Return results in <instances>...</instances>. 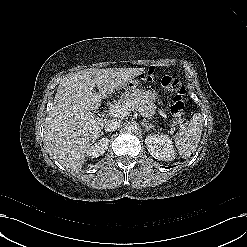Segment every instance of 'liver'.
Wrapping results in <instances>:
<instances>
[{"label": "liver", "instance_id": "liver-1", "mask_svg": "<svg viewBox=\"0 0 247 247\" xmlns=\"http://www.w3.org/2000/svg\"><path fill=\"white\" fill-rule=\"evenodd\" d=\"M144 69L90 68L64 77L44 122L49 155L66 168L80 169L106 121L91 111ZM95 86L99 92L93 90Z\"/></svg>", "mask_w": 247, "mask_h": 247}]
</instances>
